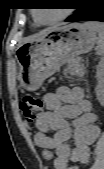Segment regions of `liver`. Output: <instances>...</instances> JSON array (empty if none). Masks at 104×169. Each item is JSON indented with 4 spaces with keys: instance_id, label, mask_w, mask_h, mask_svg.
Here are the masks:
<instances>
[{
    "instance_id": "1",
    "label": "liver",
    "mask_w": 104,
    "mask_h": 169,
    "mask_svg": "<svg viewBox=\"0 0 104 169\" xmlns=\"http://www.w3.org/2000/svg\"><path fill=\"white\" fill-rule=\"evenodd\" d=\"M48 30H50V29L44 30L42 33L46 32V31H48ZM42 33H41V34H42Z\"/></svg>"
}]
</instances>
